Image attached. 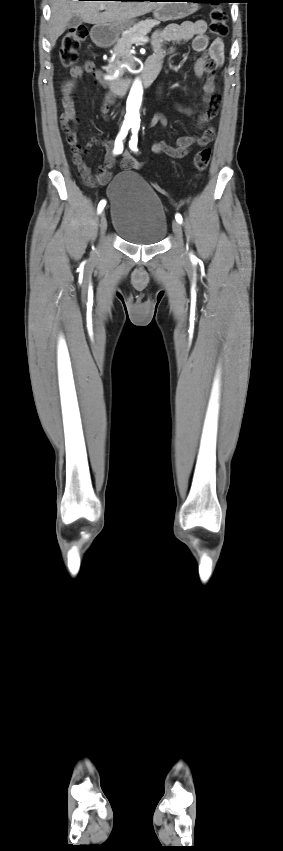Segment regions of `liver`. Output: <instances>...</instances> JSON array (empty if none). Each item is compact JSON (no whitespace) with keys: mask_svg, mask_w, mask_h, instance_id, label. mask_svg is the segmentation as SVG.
I'll use <instances>...</instances> for the list:
<instances>
[{"mask_svg":"<svg viewBox=\"0 0 283 851\" xmlns=\"http://www.w3.org/2000/svg\"><path fill=\"white\" fill-rule=\"evenodd\" d=\"M51 2L48 33L52 47L65 32L66 26L73 16H78L89 24H116L142 16L163 4L162 2L151 1L52 0ZM102 6L105 11L100 13Z\"/></svg>","mask_w":283,"mask_h":851,"instance_id":"6515ba94","label":"liver"}]
</instances>
